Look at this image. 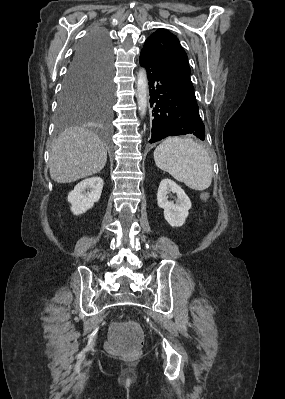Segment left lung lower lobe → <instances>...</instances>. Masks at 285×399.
Listing matches in <instances>:
<instances>
[{
	"mask_svg": "<svg viewBox=\"0 0 285 399\" xmlns=\"http://www.w3.org/2000/svg\"><path fill=\"white\" fill-rule=\"evenodd\" d=\"M140 64L149 80L150 106L153 107L152 137L149 143L167 136L193 134L205 139V127L199 115L194 91L175 79L146 51L141 50Z\"/></svg>",
	"mask_w": 285,
	"mask_h": 399,
	"instance_id": "obj_1",
	"label": "left lung lower lobe"
}]
</instances>
